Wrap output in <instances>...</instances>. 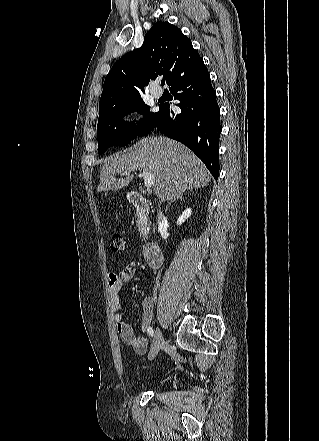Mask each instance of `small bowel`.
<instances>
[{
    "mask_svg": "<svg viewBox=\"0 0 319 441\" xmlns=\"http://www.w3.org/2000/svg\"><path fill=\"white\" fill-rule=\"evenodd\" d=\"M136 272V263L130 262L124 266L118 273H110L108 275V290L110 295V304L113 311H115L114 322L117 332L123 343L130 346L137 354H145L148 350L149 341L146 336L148 332L149 323L153 318L155 297L148 296L142 301V332L143 335L137 336L134 334L131 326L124 321L122 314L119 311L125 308L126 304L120 297V291L124 283L133 278Z\"/></svg>",
    "mask_w": 319,
    "mask_h": 441,
    "instance_id": "c3829d8e",
    "label": "small bowel"
}]
</instances>
